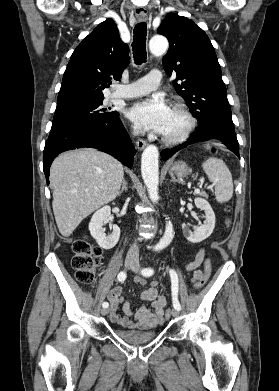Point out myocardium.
Masks as SVG:
<instances>
[{
  "mask_svg": "<svg viewBox=\"0 0 279 391\" xmlns=\"http://www.w3.org/2000/svg\"><path fill=\"white\" fill-rule=\"evenodd\" d=\"M171 110L177 111L183 115V117L186 120V126L184 130L175 136H166L161 135V139L164 143L169 145L179 144L185 141L190 134L192 133L193 129L196 126V119L194 115L191 113V111L188 109L186 105L180 102H176L171 106Z\"/></svg>",
  "mask_w": 279,
  "mask_h": 391,
  "instance_id": "f54148a6",
  "label": "myocardium"
}]
</instances>
